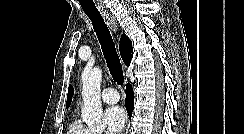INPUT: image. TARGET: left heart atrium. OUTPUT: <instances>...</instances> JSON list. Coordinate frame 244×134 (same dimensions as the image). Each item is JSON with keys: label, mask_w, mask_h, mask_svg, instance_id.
<instances>
[{"label": "left heart atrium", "mask_w": 244, "mask_h": 134, "mask_svg": "<svg viewBox=\"0 0 244 134\" xmlns=\"http://www.w3.org/2000/svg\"><path fill=\"white\" fill-rule=\"evenodd\" d=\"M105 120L110 134H120L126 123V113L123 108L113 106L106 110Z\"/></svg>", "instance_id": "39dd6f15"}]
</instances>
